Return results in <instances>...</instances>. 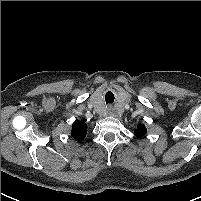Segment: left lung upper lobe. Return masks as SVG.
<instances>
[{
	"label": "left lung upper lobe",
	"mask_w": 201,
	"mask_h": 201,
	"mask_svg": "<svg viewBox=\"0 0 201 201\" xmlns=\"http://www.w3.org/2000/svg\"><path fill=\"white\" fill-rule=\"evenodd\" d=\"M146 132H147V130H146L145 126L142 124H139L134 133L137 137H142L146 134Z\"/></svg>",
	"instance_id": "1"
}]
</instances>
